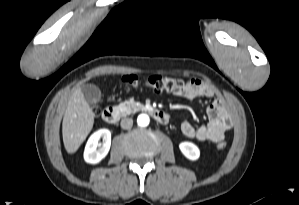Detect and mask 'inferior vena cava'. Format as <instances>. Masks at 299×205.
Returning a JSON list of instances; mask_svg holds the SVG:
<instances>
[{
	"label": "inferior vena cava",
	"mask_w": 299,
	"mask_h": 205,
	"mask_svg": "<svg viewBox=\"0 0 299 205\" xmlns=\"http://www.w3.org/2000/svg\"><path fill=\"white\" fill-rule=\"evenodd\" d=\"M120 125L123 129H130L133 126V120L131 118H123Z\"/></svg>",
	"instance_id": "1"
}]
</instances>
